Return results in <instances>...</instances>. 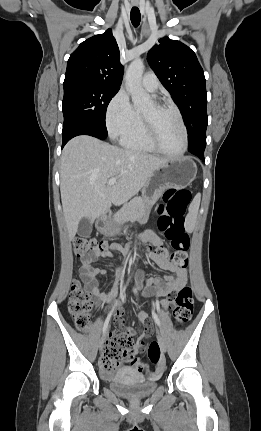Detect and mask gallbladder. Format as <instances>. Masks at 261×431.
Here are the masks:
<instances>
[{
	"instance_id": "gallbladder-1",
	"label": "gallbladder",
	"mask_w": 261,
	"mask_h": 431,
	"mask_svg": "<svg viewBox=\"0 0 261 431\" xmlns=\"http://www.w3.org/2000/svg\"><path fill=\"white\" fill-rule=\"evenodd\" d=\"M91 232H92V222L87 218L81 219L78 225V234L81 237H87L91 234Z\"/></svg>"
}]
</instances>
